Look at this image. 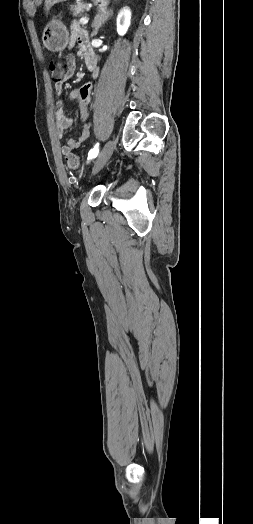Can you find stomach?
Returning <instances> with one entry per match:
<instances>
[{
    "instance_id": "1",
    "label": "stomach",
    "mask_w": 253,
    "mask_h": 524,
    "mask_svg": "<svg viewBox=\"0 0 253 524\" xmlns=\"http://www.w3.org/2000/svg\"><path fill=\"white\" fill-rule=\"evenodd\" d=\"M92 1L101 8L106 6V0ZM42 40L48 50L52 52L63 51L69 41L66 26L60 20H51L44 29Z\"/></svg>"
}]
</instances>
